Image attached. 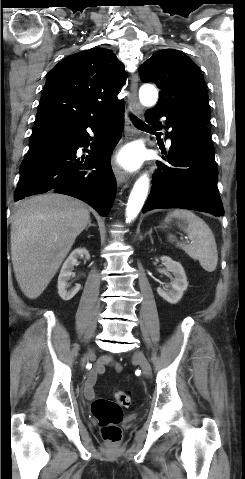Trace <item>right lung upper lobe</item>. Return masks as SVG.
I'll use <instances>...</instances> for the list:
<instances>
[{"label": "right lung upper lobe", "instance_id": "right-lung-upper-lobe-1", "mask_svg": "<svg viewBox=\"0 0 245 479\" xmlns=\"http://www.w3.org/2000/svg\"><path fill=\"white\" fill-rule=\"evenodd\" d=\"M126 78L123 64L108 49L92 48L64 58L47 77L33 132L114 113L122 107L116 96Z\"/></svg>", "mask_w": 245, "mask_h": 479}]
</instances>
